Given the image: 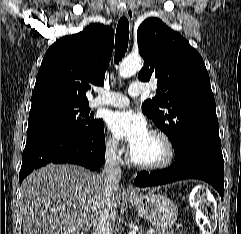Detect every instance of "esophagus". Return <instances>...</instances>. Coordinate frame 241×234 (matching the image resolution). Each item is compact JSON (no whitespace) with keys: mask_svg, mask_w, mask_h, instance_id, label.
Wrapping results in <instances>:
<instances>
[{"mask_svg":"<svg viewBox=\"0 0 241 234\" xmlns=\"http://www.w3.org/2000/svg\"><path fill=\"white\" fill-rule=\"evenodd\" d=\"M121 13L125 15L129 22L133 20L135 10L131 0H128L127 5L124 6V8L121 10ZM125 193L128 195H134L136 193L132 184L127 185Z\"/></svg>","mask_w":241,"mask_h":234,"instance_id":"esophagus-1","label":"esophagus"}]
</instances>
